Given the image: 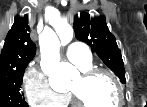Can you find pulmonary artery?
<instances>
[{"instance_id": "1", "label": "pulmonary artery", "mask_w": 147, "mask_h": 107, "mask_svg": "<svg viewBox=\"0 0 147 107\" xmlns=\"http://www.w3.org/2000/svg\"><path fill=\"white\" fill-rule=\"evenodd\" d=\"M68 60L79 68L91 65L92 58L88 47L82 43H72L66 50Z\"/></svg>"}]
</instances>
